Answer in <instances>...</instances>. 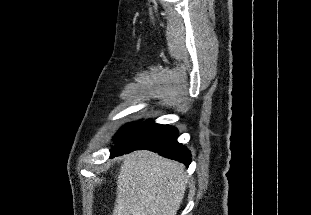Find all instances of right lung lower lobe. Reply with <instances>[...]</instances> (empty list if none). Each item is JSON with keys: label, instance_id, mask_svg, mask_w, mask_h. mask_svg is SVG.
Here are the masks:
<instances>
[{"label": "right lung lower lobe", "instance_id": "obj_1", "mask_svg": "<svg viewBox=\"0 0 311 215\" xmlns=\"http://www.w3.org/2000/svg\"><path fill=\"white\" fill-rule=\"evenodd\" d=\"M178 131L169 125H161L147 120L134 128L126 137L110 149L111 157L146 149L159 155L184 163H191L189 150L177 142Z\"/></svg>", "mask_w": 311, "mask_h": 215}]
</instances>
